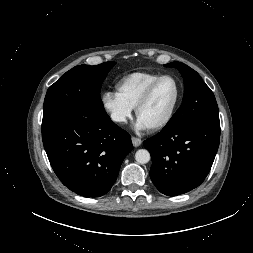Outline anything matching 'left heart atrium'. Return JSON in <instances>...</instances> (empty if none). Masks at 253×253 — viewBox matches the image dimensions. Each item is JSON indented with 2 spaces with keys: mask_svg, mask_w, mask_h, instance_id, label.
<instances>
[{
  "mask_svg": "<svg viewBox=\"0 0 253 253\" xmlns=\"http://www.w3.org/2000/svg\"><path fill=\"white\" fill-rule=\"evenodd\" d=\"M136 126L139 129H146V126L143 123H141L139 120H137Z\"/></svg>",
  "mask_w": 253,
  "mask_h": 253,
  "instance_id": "left-heart-atrium-1",
  "label": "left heart atrium"
}]
</instances>
